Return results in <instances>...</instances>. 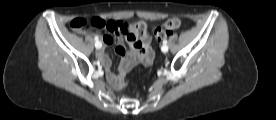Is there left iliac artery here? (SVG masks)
Wrapping results in <instances>:
<instances>
[{
  "label": "left iliac artery",
  "mask_w": 276,
  "mask_h": 120,
  "mask_svg": "<svg viewBox=\"0 0 276 120\" xmlns=\"http://www.w3.org/2000/svg\"><path fill=\"white\" fill-rule=\"evenodd\" d=\"M167 44V40H163V45H166Z\"/></svg>",
  "instance_id": "obj_1"
}]
</instances>
